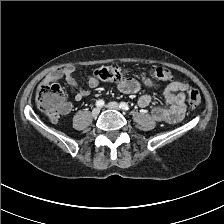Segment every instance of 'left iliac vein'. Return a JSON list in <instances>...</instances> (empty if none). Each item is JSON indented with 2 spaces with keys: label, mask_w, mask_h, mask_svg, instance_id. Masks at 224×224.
<instances>
[{
  "label": "left iliac vein",
  "mask_w": 224,
  "mask_h": 224,
  "mask_svg": "<svg viewBox=\"0 0 224 224\" xmlns=\"http://www.w3.org/2000/svg\"><path fill=\"white\" fill-rule=\"evenodd\" d=\"M120 105L117 102H110L106 105L107 108L109 109H116L118 110Z\"/></svg>",
  "instance_id": "left-iliac-vein-1"
}]
</instances>
